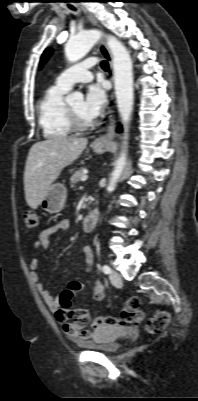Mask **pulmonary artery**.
<instances>
[{"label":"pulmonary artery","mask_w":198,"mask_h":401,"mask_svg":"<svg viewBox=\"0 0 198 401\" xmlns=\"http://www.w3.org/2000/svg\"><path fill=\"white\" fill-rule=\"evenodd\" d=\"M95 65L94 59H88L63 71L57 78L56 84L70 89L77 82H88L92 79L91 68Z\"/></svg>","instance_id":"obj_1"}]
</instances>
